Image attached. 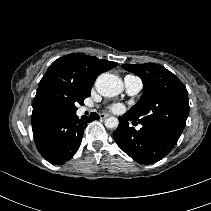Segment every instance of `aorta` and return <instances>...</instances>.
Wrapping results in <instances>:
<instances>
[{
    "mask_svg": "<svg viewBox=\"0 0 211 211\" xmlns=\"http://www.w3.org/2000/svg\"><path fill=\"white\" fill-rule=\"evenodd\" d=\"M97 92L104 97H114L119 95L123 90V82L113 74L103 73L95 81ZM119 121L116 117H110L105 120L107 128H117Z\"/></svg>",
    "mask_w": 211,
    "mask_h": 211,
    "instance_id": "aorta-1",
    "label": "aorta"
}]
</instances>
